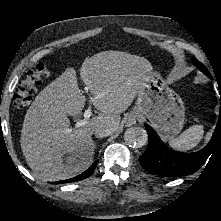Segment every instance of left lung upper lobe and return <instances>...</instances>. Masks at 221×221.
<instances>
[{"label": "left lung upper lobe", "instance_id": "1", "mask_svg": "<svg viewBox=\"0 0 221 221\" xmlns=\"http://www.w3.org/2000/svg\"><path fill=\"white\" fill-rule=\"evenodd\" d=\"M193 63L195 64V66L200 69L204 74H206L207 76H210L209 71L207 70V68L201 64L198 60L193 59Z\"/></svg>", "mask_w": 221, "mask_h": 221}]
</instances>
